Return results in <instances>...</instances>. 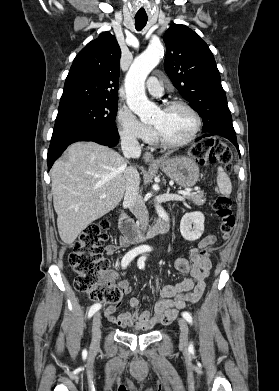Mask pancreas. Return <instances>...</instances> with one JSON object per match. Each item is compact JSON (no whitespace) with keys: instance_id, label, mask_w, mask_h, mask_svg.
I'll return each mask as SVG.
<instances>
[{"instance_id":"pancreas-1","label":"pancreas","mask_w":279,"mask_h":391,"mask_svg":"<svg viewBox=\"0 0 279 391\" xmlns=\"http://www.w3.org/2000/svg\"><path fill=\"white\" fill-rule=\"evenodd\" d=\"M186 198L192 201L195 205L201 206L206 202L204 194L201 192L191 193L190 195H186Z\"/></svg>"}]
</instances>
